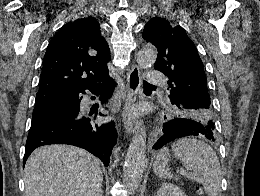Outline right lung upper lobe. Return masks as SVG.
I'll return each mask as SVG.
<instances>
[{
	"label": "right lung upper lobe",
	"instance_id": "cb5924a9",
	"mask_svg": "<svg viewBox=\"0 0 260 196\" xmlns=\"http://www.w3.org/2000/svg\"><path fill=\"white\" fill-rule=\"evenodd\" d=\"M110 50L93 17L65 24L44 55L35 108L106 82Z\"/></svg>",
	"mask_w": 260,
	"mask_h": 196
}]
</instances>
